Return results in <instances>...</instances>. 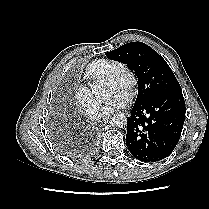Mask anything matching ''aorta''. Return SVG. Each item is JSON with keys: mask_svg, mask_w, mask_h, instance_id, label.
Returning <instances> with one entry per match:
<instances>
[{"mask_svg": "<svg viewBox=\"0 0 209 209\" xmlns=\"http://www.w3.org/2000/svg\"><path fill=\"white\" fill-rule=\"evenodd\" d=\"M93 93L95 94L96 97L99 98H105L107 92L105 91V88L102 86H94L93 87ZM111 124L113 126L123 128L127 125V117L124 114H116L112 117L111 119Z\"/></svg>", "mask_w": 209, "mask_h": 209, "instance_id": "aorta-1", "label": "aorta"}]
</instances>
